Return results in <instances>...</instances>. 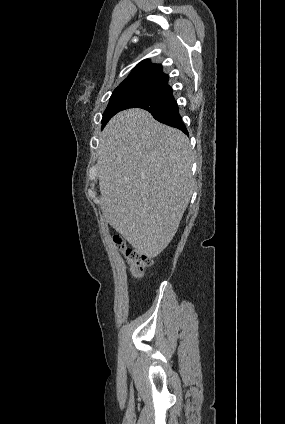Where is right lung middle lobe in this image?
I'll return each instance as SVG.
<instances>
[{
    "label": "right lung middle lobe",
    "instance_id": "right-lung-middle-lobe-1",
    "mask_svg": "<svg viewBox=\"0 0 285 424\" xmlns=\"http://www.w3.org/2000/svg\"><path fill=\"white\" fill-rule=\"evenodd\" d=\"M163 86L157 83H140L117 87L113 91L109 104L103 114L102 128L115 114L126 109L131 102L150 95L160 90Z\"/></svg>",
    "mask_w": 285,
    "mask_h": 424
}]
</instances>
